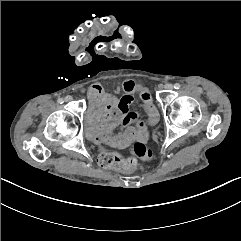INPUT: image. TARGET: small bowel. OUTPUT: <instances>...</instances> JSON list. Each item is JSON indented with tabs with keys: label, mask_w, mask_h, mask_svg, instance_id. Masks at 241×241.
Masks as SVG:
<instances>
[{
	"label": "small bowel",
	"mask_w": 241,
	"mask_h": 241,
	"mask_svg": "<svg viewBox=\"0 0 241 241\" xmlns=\"http://www.w3.org/2000/svg\"><path fill=\"white\" fill-rule=\"evenodd\" d=\"M123 91L117 98L96 84L88 90L93 121L88 136L98 145L125 149L134 142L145 143L149 139V126L158 122V110L148 89L127 80ZM134 91L139 93L146 120H142L138 112L130 110Z\"/></svg>",
	"instance_id": "small-bowel-1"
}]
</instances>
